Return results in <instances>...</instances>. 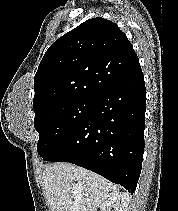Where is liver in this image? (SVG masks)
<instances>
[{
	"mask_svg": "<svg viewBox=\"0 0 178 211\" xmlns=\"http://www.w3.org/2000/svg\"><path fill=\"white\" fill-rule=\"evenodd\" d=\"M43 183L51 211H97L119 188L82 167L71 163L45 166Z\"/></svg>",
	"mask_w": 178,
	"mask_h": 211,
	"instance_id": "6515ba94",
	"label": "liver"
}]
</instances>
